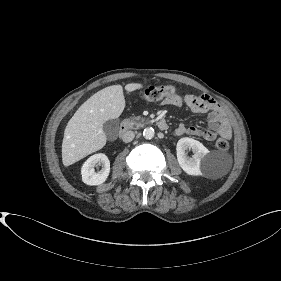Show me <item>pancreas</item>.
<instances>
[{
	"label": "pancreas",
	"mask_w": 281,
	"mask_h": 281,
	"mask_svg": "<svg viewBox=\"0 0 281 281\" xmlns=\"http://www.w3.org/2000/svg\"><path fill=\"white\" fill-rule=\"evenodd\" d=\"M123 124L130 129H138L144 125V119L140 117H131L128 119H125L123 121Z\"/></svg>",
	"instance_id": "pancreas-1"
}]
</instances>
